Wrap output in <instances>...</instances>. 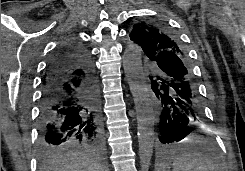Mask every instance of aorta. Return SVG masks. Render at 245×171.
Segmentation results:
<instances>
[{"label":"aorta","mask_w":245,"mask_h":171,"mask_svg":"<svg viewBox=\"0 0 245 171\" xmlns=\"http://www.w3.org/2000/svg\"><path fill=\"white\" fill-rule=\"evenodd\" d=\"M123 67L136 104L139 157L142 171H148L154 145L155 115L150 86L143 71L141 48L129 45L123 55Z\"/></svg>","instance_id":"obj_1"}]
</instances>
